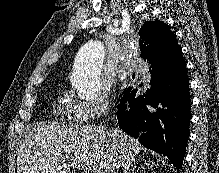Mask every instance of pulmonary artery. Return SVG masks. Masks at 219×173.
Here are the masks:
<instances>
[{
  "mask_svg": "<svg viewBox=\"0 0 219 173\" xmlns=\"http://www.w3.org/2000/svg\"><path fill=\"white\" fill-rule=\"evenodd\" d=\"M126 74H128L127 69L120 68V69L116 70V75H118V76H122V75H126Z\"/></svg>",
  "mask_w": 219,
  "mask_h": 173,
  "instance_id": "1",
  "label": "pulmonary artery"
}]
</instances>
